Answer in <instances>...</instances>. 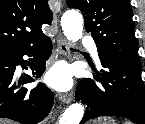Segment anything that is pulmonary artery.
I'll list each match as a JSON object with an SVG mask.
<instances>
[{
  "label": "pulmonary artery",
  "instance_id": "1",
  "mask_svg": "<svg viewBox=\"0 0 145 124\" xmlns=\"http://www.w3.org/2000/svg\"><path fill=\"white\" fill-rule=\"evenodd\" d=\"M82 45L89 49L93 57L96 59V61L99 63V56L97 47L94 43L91 42V39L89 36H85L82 41Z\"/></svg>",
  "mask_w": 145,
  "mask_h": 124
}]
</instances>
